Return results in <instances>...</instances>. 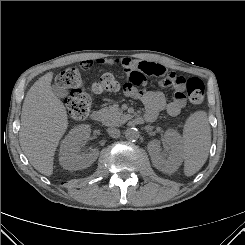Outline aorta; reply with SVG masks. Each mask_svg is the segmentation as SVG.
<instances>
[{"instance_id": "762f6f07", "label": "aorta", "mask_w": 245, "mask_h": 245, "mask_svg": "<svg viewBox=\"0 0 245 245\" xmlns=\"http://www.w3.org/2000/svg\"><path fill=\"white\" fill-rule=\"evenodd\" d=\"M125 137L129 141H136L139 138V131L137 128H128L125 131Z\"/></svg>"}]
</instances>
